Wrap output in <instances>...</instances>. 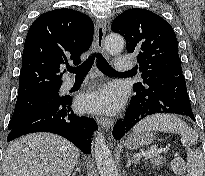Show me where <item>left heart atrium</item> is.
Wrapping results in <instances>:
<instances>
[{"mask_svg": "<svg viewBox=\"0 0 205 176\" xmlns=\"http://www.w3.org/2000/svg\"><path fill=\"white\" fill-rule=\"evenodd\" d=\"M122 101V94L116 88H105L83 94L78 99V106L87 111H110Z\"/></svg>", "mask_w": 205, "mask_h": 176, "instance_id": "left-heart-atrium-1", "label": "left heart atrium"}]
</instances>
